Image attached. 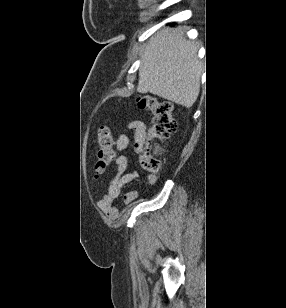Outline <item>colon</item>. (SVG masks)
<instances>
[{
    "instance_id": "5ec220e1",
    "label": "colon",
    "mask_w": 286,
    "mask_h": 308,
    "mask_svg": "<svg viewBox=\"0 0 286 308\" xmlns=\"http://www.w3.org/2000/svg\"><path fill=\"white\" fill-rule=\"evenodd\" d=\"M139 108L151 114L148 136L143 142L141 151V164L150 174H157L161 165L164 142L176 131V121L172 117L173 105L170 101L155 96L138 98ZM114 136L109 125L104 124L98 130L97 161L95 163V177L102 175L108 165L115 158L113 149Z\"/></svg>"
}]
</instances>
